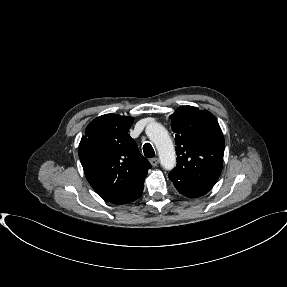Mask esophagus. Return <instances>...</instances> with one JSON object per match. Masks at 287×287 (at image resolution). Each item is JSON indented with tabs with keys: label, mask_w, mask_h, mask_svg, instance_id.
Returning a JSON list of instances; mask_svg holds the SVG:
<instances>
[{
	"label": "esophagus",
	"mask_w": 287,
	"mask_h": 287,
	"mask_svg": "<svg viewBox=\"0 0 287 287\" xmlns=\"http://www.w3.org/2000/svg\"><path fill=\"white\" fill-rule=\"evenodd\" d=\"M150 163H151L152 166L155 167V166L158 165L159 159L158 158H152V159H150Z\"/></svg>",
	"instance_id": "esophagus-1"
}]
</instances>
